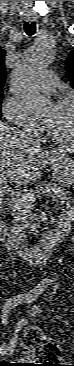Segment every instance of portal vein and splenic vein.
Wrapping results in <instances>:
<instances>
[{"label":"portal vein and splenic vein","instance_id":"portal-vein-and-splenic-vein-1","mask_svg":"<svg viewBox=\"0 0 74 366\" xmlns=\"http://www.w3.org/2000/svg\"><path fill=\"white\" fill-rule=\"evenodd\" d=\"M3 192L9 197V198H21L23 200H32L27 194H23L21 191H15L10 188H4Z\"/></svg>","mask_w":74,"mask_h":366}]
</instances>
